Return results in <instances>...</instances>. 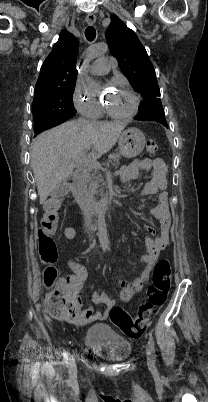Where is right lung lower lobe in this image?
<instances>
[{
  "mask_svg": "<svg viewBox=\"0 0 208 402\" xmlns=\"http://www.w3.org/2000/svg\"><path fill=\"white\" fill-rule=\"evenodd\" d=\"M65 121L66 120H60L55 117L38 118V119L34 120V129L36 131L35 133L37 135V134H39L49 128L55 127Z\"/></svg>",
  "mask_w": 208,
  "mask_h": 402,
  "instance_id": "obj_1",
  "label": "right lung lower lobe"
}]
</instances>
